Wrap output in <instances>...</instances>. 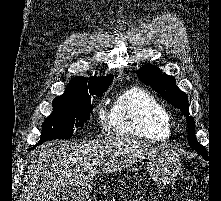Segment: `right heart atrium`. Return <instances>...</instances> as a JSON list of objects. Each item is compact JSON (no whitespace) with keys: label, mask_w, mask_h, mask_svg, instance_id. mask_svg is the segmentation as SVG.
I'll use <instances>...</instances> for the list:
<instances>
[{"label":"right heart atrium","mask_w":221,"mask_h":201,"mask_svg":"<svg viewBox=\"0 0 221 201\" xmlns=\"http://www.w3.org/2000/svg\"><path fill=\"white\" fill-rule=\"evenodd\" d=\"M96 111H97V117H98V121H99L100 126L103 129H106L109 124V117H108L107 112L105 111V109L101 105H99L97 107Z\"/></svg>","instance_id":"d8ad5b80"}]
</instances>
